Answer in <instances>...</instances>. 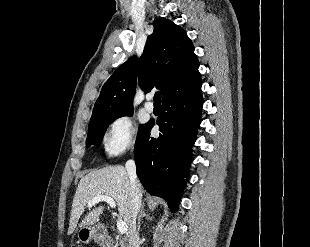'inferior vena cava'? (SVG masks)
<instances>
[{"label":"inferior vena cava","instance_id":"1","mask_svg":"<svg viewBox=\"0 0 310 247\" xmlns=\"http://www.w3.org/2000/svg\"><path fill=\"white\" fill-rule=\"evenodd\" d=\"M127 174L130 181V216H129V232L128 247H139V234L136 230V217L141 207V184L137 179L136 165L134 160H128L125 164Z\"/></svg>","mask_w":310,"mask_h":247}]
</instances>
